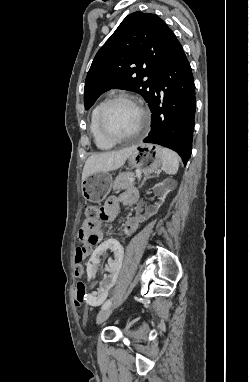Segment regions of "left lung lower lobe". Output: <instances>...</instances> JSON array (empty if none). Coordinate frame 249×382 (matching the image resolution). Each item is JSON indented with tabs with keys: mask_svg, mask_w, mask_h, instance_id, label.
Segmentation results:
<instances>
[{
	"mask_svg": "<svg viewBox=\"0 0 249 382\" xmlns=\"http://www.w3.org/2000/svg\"><path fill=\"white\" fill-rule=\"evenodd\" d=\"M195 104L192 70L178 41L148 101L151 131L143 142L176 151L186 164L192 150Z\"/></svg>",
	"mask_w": 249,
	"mask_h": 382,
	"instance_id": "1",
	"label": "left lung lower lobe"
}]
</instances>
